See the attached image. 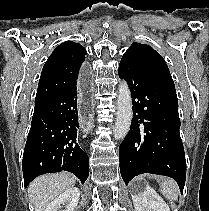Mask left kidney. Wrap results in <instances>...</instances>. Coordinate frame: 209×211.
Returning a JSON list of instances; mask_svg holds the SVG:
<instances>
[{"instance_id": "obj_1", "label": "left kidney", "mask_w": 209, "mask_h": 211, "mask_svg": "<svg viewBox=\"0 0 209 211\" xmlns=\"http://www.w3.org/2000/svg\"><path fill=\"white\" fill-rule=\"evenodd\" d=\"M135 211H170L169 206L150 186L132 188Z\"/></svg>"}]
</instances>
